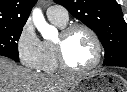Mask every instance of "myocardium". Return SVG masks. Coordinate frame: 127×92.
<instances>
[{
	"instance_id": "myocardium-1",
	"label": "myocardium",
	"mask_w": 127,
	"mask_h": 92,
	"mask_svg": "<svg viewBox=\"0 0 127 92\" xmlns=\"http://www.w3.org/2000/svg\"><path fill=\"white\" fill-rule=\"evenodd\" d=\"M76 30H84L90 35V37L92 38L94 42L95 51H96V55L93 62L87 67L80 68V69L72 67L68 63L66 59V54H65L66 42L69 36ZM53 46H54L56 60H57L59 68L62 71L68 72V73H73V74L87 73L93 70L95 67H97L100 64L103 57V47H102V43L98 34L95 32L93 28L82 23H73V24L66 25L64 28H62L58 38L54 41Z\"/></svg>"
}]
</instances>
